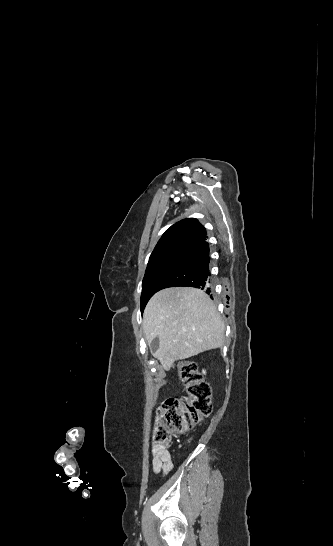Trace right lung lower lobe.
I'll return each mask as SVG.
<instances>
[{"label":"right lung lower lobe","mask_w":333,"mask_h":546,"mask_svg":"<svg viewBox=\"0 0 333 546\" xmlns=\"http://www.w3.org/2000/svg\"><path fill=\"white\" fill-rule=\"evenodd\" d=\"M210 260L207 241L189 249L159 278L155 293L167 287L188 286L204 290L212 298L208 281ZM141 311L143 312V307Z\"/></svg>","instance_id":"1"}]
</instances>
